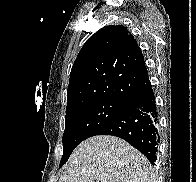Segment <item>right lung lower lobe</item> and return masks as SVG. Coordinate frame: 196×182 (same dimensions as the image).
<instances>
[{
	"label": "right lung lower lobe",
	"mask_w": 196,
	"mask_h": 182,
	"mask_svg": "<svg viewBox=\"0 0 196 182\" xmlns=\"http://www.w3.org/2000/svg\"><path fill=\"white\" fill-rule=\"evenodd\" d=\"M96 135H113L124 139L155 165L159 127L151 84L130 103L126 111L107 122L93 134V136Z\"/></svg>",
	"instance_id": "1"
}]
</instances>
